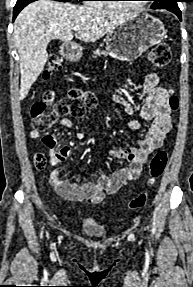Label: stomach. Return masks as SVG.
Wrapping results in <instances>:
<instances>
[{
    "label": "stomach",
    "instance_id": "stomach-1",
    "mask_svg": "<svg viewBox=\"0 0 193 287\" xmlns=\"http://www.w3.org/2000/svg\"><path fill=\"white\" fill-rule=\"evenodd\" d=\"M166 35L163 23L147 14L137 13L119 24L106 37V49L117 60L133 61L160 43ZM79 52L65 53L74 59Z\"/></svg>",
    "mask_w": 193,
    "mask_h": 287
}]
</instances>
